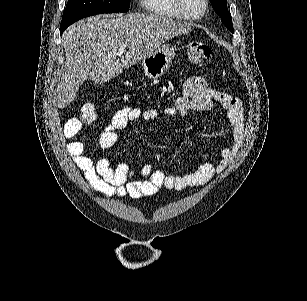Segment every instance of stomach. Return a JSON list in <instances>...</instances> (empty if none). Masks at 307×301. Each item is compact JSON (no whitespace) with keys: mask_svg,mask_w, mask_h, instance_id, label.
<instances>
[{"mask_svg":"<svg viewBox=\"0 0 307 301\" xmlns=\"http://www.w3.org/2000/svg\"><path fill=\"white\" fill-rule=\"evenodd\" d=\"M176 54L172 44H161L158 50L145 56L141 62L142 70L147 78H158L170 68Z\"/></svg>","mask_w":307,"mask_h":301,"instance_id":"stomach-1","label":"stomach"}]
</instances>
